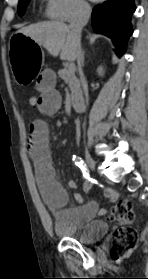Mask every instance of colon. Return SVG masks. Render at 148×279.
<instances>
[{
	"label": "colon",
	"mask_w": 148,
	"mask_h": 279,
	"mask_svg": "<svg viewBox=\"0 0 148 279\" xmlns=\"http://www.w3.org/2000/svg\"><path fill=\"white\" fill-rule=\"evenodd\" d=\"M28 104L32 108L38 105V97L30 95ZM109 221L120 223V227L114 232L112 237L111 255L114 260H120L127 256L137 244V232L130 226L134 220L132 204L127 200L118 201L107 215Z\"/></svg>",
	"instance_id": "obj_1"
}]
</instances>
